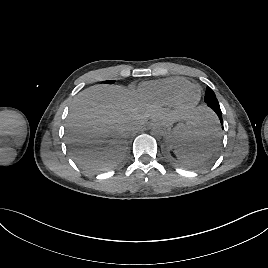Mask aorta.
Listing matches in <instances>:
<instances>
[{
  "instance_id": "1",
  "label": "aorta",
  "mask_w": 268,
  "mask_h": 268,
  "mask_svg": "<svg viewBox=\"0 0 268 268\" xmlns=\"http://www.w3.org/2000/svg\"><path fill=\"white\" fill-rule=\"evenodd\" d=\"M165 131L162 127L157 126L151 130V135L155 138H160L164 135Z\"/></svg>"
}]
</instances>
